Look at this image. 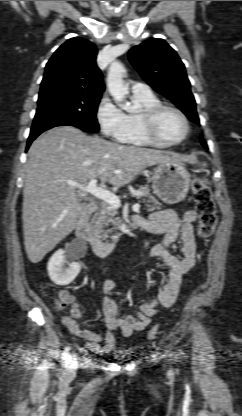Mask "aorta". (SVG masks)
Listing matches in <instances>:
<instances>
[{
    "label": "aorta",
    "mask_w": 242,
    "mask_h": 416,
    "mask_svg": "<svg viewBox=\"0 0 242 416\" xmlns=\"http://www.w3.org/2000/svg\"><path fill=\"white\" fill-rule=\"evenodd\" d=\"M126 70L120 62H113L107 75V87L110 95L127 112L134 111L135 107L125 101L128 94V87L124 85L123 76Z\"/></svg>",
    "instance_id": "762f6f07"
}]
</instances>
